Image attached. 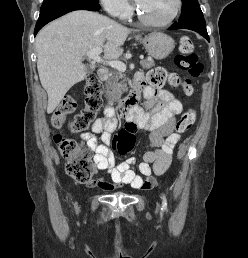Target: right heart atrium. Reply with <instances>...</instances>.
Returning <instances> with one entry per match:
<instances>
[{"mask_svg":"<svg viewBox=\"0 0 248 258\" xmlns=\"http://www.w3.org/2000/svg\"><path fill=\"white\" fill-rule=\"evenodd\" d=\"M100 2L105 11L115 17L125 18L131 12L126 0H100Z\"/></svg>","mask_w":248,"mask_h":258,"instance_id":"1","label":"right heart atrium"}]
</instances>
